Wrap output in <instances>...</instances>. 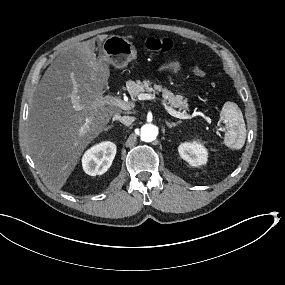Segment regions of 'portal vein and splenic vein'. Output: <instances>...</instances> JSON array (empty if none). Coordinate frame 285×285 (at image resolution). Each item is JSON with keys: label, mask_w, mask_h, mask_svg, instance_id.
Instances as JSON below:
<instances>
[{"label": "portal vein and splenic vein", "mask_w": 285, "mask_h": 285, "mask_svg": "<svg viewBox=\"0 0 285 285\" xmlns=\"http://www.w3.org/2000/svg\"><path fill=\"white\" fill-rule=\"evenodd\" d=\"M137 98L139 100H152L155 98V95L153 94H148V93H140L138 94ZM101 105H113V106H117L123 110H130L131 109V105L128 102H125L117 97L114 96H110L107 95L105 97H103L102 99H98ZM162 104L164 105L165 110L172 116L179 118V119H191L192 117H194L193 115H189V114H185L184 112H178L176 110H174L172 107L168 106L164 101H162ZM94 106L96 107L97 104H94ZM206 121H209L210 118L209 117H205ZM92 121V117H87L85 119V123L82 127V132L85 131L87 128H89L90 124Z\"/></svg>", "instance_id": "obj_1"}]
</instances>
